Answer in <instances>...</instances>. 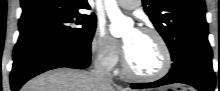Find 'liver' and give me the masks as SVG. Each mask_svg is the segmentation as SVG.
Wrapping results in <instances>:
<instances>
[{
    "label": "liver",
    "mask_w": 220,
    "mask_h": 91,
    "mask_svg": "<svg viewBox=\"0 0 220 91\" xmlns=\"http://www.w3.org/2000/svg\"><path fill=\"white\" fill-rule=\"evenodd\" d=\"M21 91H116L111 83L97 81L83 70L58 68L28 81ZM130 91V90H125Z\"/></svg>",
    "instance_id": "6515ba94"
}]
</instances>
